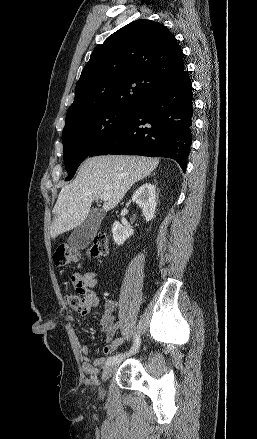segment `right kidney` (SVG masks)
I'll return each instance as SVG.
<instances>
[{"instance_id":"right-kidney-1","label":"right kidney","mask_w":257,"mask_h":439,"mask_svg":"<svg viewBox=\"0 0 257 439\" xmlns=\"http://www.w3.org/2000/svg\"><path fill=\"white\" fill-rule=\"evenodd\" d=\"M132 201L142 209L146 222L154 218L157 206L154 185L145 183L140 186L133 194ZM112 233L115 243L117 245H123V243L133 235L134 231L129 225H123L115 221L112 226Z\"/></svg>"}]
</instances>
